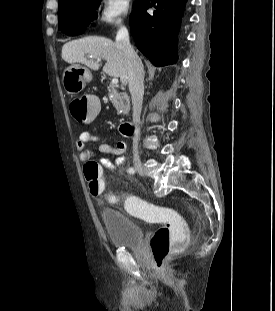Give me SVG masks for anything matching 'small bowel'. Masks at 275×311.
Here are the masks:
<instances>
[{"label": "small bowel", "mask_w": 275, "mask_h": 311, "mask_svg": "<svg viewBox=\"0 0 275 311\" xmlns=\"http://www.w3.org/2000/svg\"><path fill=\"white\" fill-rule=\"evenodd\" d=\"M100 141V136L90 132L82 131L79 133L76 140V148L79 151L80 160L85 163H88L91 160V154L88 149V144L95 143ZM127 145L124 141H118L115 146H111L107 143L100 142L98 145V151L103 154H110L115 156L114 159L101 158L97 163L106 169H115L118 166L125 163L126 158L124 153L126 152ZM85 167V166H84ZM85 172V171H84Z\"/></svg>", "instance_id": "1"}]
</instances>
